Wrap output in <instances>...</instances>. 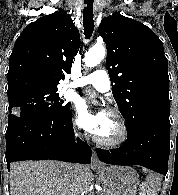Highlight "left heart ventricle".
Returning a JSON list of instances; mask_svg holds the SVG:
<instances>
[{
    "instance_id": "obj_1",
    "label": "left heart ventricle",
    "mask_w": 178,
    "mask_h": 195,
    "mask_svg": "<svg viewBox=\"0 0 178 195\" xmlns=\"http://www.w3.org/2000/svg\"><path fill=\"white\" fill-rule=\"evenodd\" d=\"M96 135L103 140H113L117 138L119 135V127L116 120L109 114H106L103 124Z\"/></svg>"
}]
</instances>
